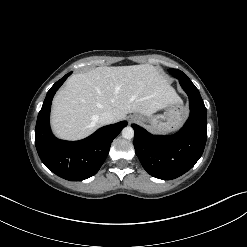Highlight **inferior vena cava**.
<instances>
[{
  "mask_svg": "<svg viewBox=\"0 0 247 247\" xmlns=\"http://www.w3.org/2000/svg\"><path fill=\"white\" fill-rule=\"evenodd\" d=\"M114 119H115V117L112 113L104 112V113L100 114L98 121L101 125H107V124L113 123Z\"/></svg>",
  "mask_w": 247,
  "mask_h": 247,
  "instance_id": "obj_1",
  "label": "inferior vena cava"
}]
</instances>
